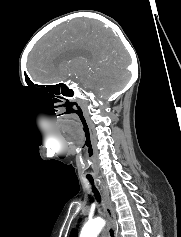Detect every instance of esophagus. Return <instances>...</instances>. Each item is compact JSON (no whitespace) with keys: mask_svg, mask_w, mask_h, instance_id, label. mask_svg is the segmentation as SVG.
<instances>
[{"mask_svg":"<svg viewBox=\"0 0 181 237\" xmlns=\"http://www.w3.org/2000/svg\"><path fill=\"white\" fill-rule=\"evenodd\" d=\"M100 188L103 196V203H104V208L105 212L107 215V218L109 220V228H108V236L109 237H117V221H116V214L114 212L110 195H109V190L107 185L104 182H100Z\"/></svg>","mask_w":181,"mask_h":237,"instance_id":"obj_1","label":"esophagus"}]
</instances>
